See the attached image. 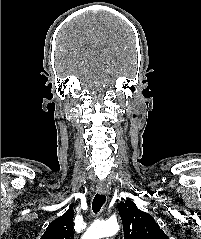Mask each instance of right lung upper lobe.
<instances>
[{
    "mask_svg": "<svg viewBox=\"0 0 201 239\" xmlns=\"http://www.w3.org/2000/svg\"><path fill=\"white\" fill-rule=\"evenodd\" d=\"M73 206L65 214L52 221L40 239H74Z\"/></svg>",
    "mask_w": 201,
    "mask_h": 239,
    "instance_id": "obj_1",
    "label": "right lung upper lobe"
}]
</instances>
